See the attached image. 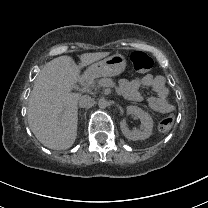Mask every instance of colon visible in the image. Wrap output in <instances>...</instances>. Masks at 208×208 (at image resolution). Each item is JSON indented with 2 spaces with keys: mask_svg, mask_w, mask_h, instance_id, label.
I'll use <instances>...</instances> for the list:
<instances>
[{
  "mask_svg": "<svg viewBox=\"0 0 208 208\" xmlns=\"http://www.w3.org/2000/svg\"><path fill=\"white\" fill-rule=\"evenodd\" d=\"M130 58L134 66V69L137 72H141V73L148 72L153 68V59L149 54L145 52L134 51L131 54ZM174 121H175V115L171 111L163 118H161V120L159 121L158 123L159 130L162 132L169 131L173 127Z\"/></svg>",
  "mask_w": 208,
  "mask_h": 208,
  "instance_id": "colon-1",
  "label": "colon"
}]
</instances>
